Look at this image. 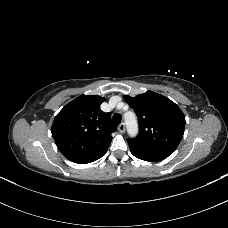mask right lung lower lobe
<instances>
[{"instance_id":"obj_1","label":"right lung lower lobe","mask_w":228,"mask_h":228,"mask_svg":"<svg viewBox=\"0 0 228 228\" xmlns=\"http://www.w3.org/2000/svg\"><path fill=\"white\" fill-rule=\"evenodd\" d=\"M107 152V149L105 150H102L92 156H89L87 158H84V159H81V160H78V161H75V163H78V164H84V163H90V162H93V161H96L98 160L99 158H101L102 156H104V154Z\"/></svg>"}]
</instances>
